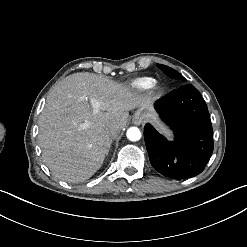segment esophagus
Wrapping results in <instances>:
<instances>
[{
    "mask_svg": "<svg viewBox=\"0 0 247 247\" xmlns=\"http://www.w3.org/2000/svg\"><path fill=\"white\" fill-rule=\"evenodd\" d=\"M137 123H138V121H135V120H134V124H137Z\"/></svg>",
    "mask_w": 247,
    "mask_h": 247,
    "instance_id": "obj_1",
    "label": "esophagus"
}]
</instances>
